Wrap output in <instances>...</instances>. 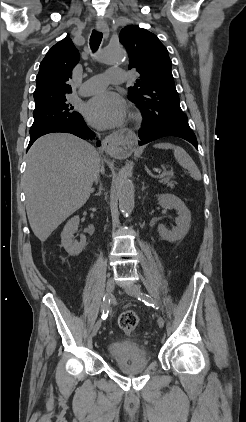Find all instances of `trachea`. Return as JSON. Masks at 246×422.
<instances>
[{
  "instance_id": "trachea-1",
  "label": "trachea",
  "mask_w": 246,
  "mask_h": 422,
  "mask_svg": "<svg viewBox=\"0 0 246 422\" xmlns=\"http://www.w3.org/2000/svg\"><path fill=\"white\" fill-rule=\"evenodd\" d=\"M103 34L98 31H93L90 36V47L93 52L97 51L102 41Z\"/></svg>"
}]
</instances>
